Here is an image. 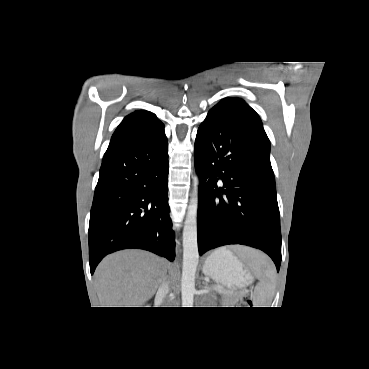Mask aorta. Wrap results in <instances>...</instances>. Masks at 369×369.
Here are the masks:
<instances>
[{"instance_id": "obj_1", "label": "aorta", "mask_w": 369, "mask_h": 369, "mask_svg": "<svg viewBox=\"0 0 369 369\" xmlns=\"http://www.w3.org/2000/svg\"><path fill=\"white\" fill-rule=\"evenodd\" d=\"M199 177L193 178V192L183 227V267L181 278L182 307H193L195 294V274L199 261L197 243V211Z\"/></svg>"}]
</instances>
